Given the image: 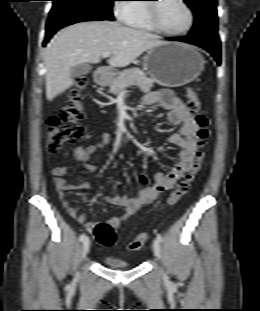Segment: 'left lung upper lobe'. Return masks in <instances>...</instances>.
<instances>
[{"label":"left lung upper lobe","mask_w":260,"mask_h":311,"mask_svg":"<svg viewBox=\"0 0 260 311\" xmlns=\"http://www.w3.org/2000/svg\"><path fill=\"white\" fill-rule=\"evenodd\" d=\"M192 8L195 21L190 37L219 41L217 0H184Z\"/></svg>","instance_id":"1"}]
</instances>
